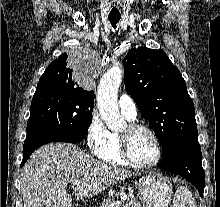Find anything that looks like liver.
<instances>
[{"label":"liver","instance_id":"liver-1","mask_svg":"<svg viewBox=\"0 0 220 207\" xmlns=\"http://www.w3.org/2000/svg\"><path fill=\"white\" fill-rule=\"evenodd\" d=\"M134 175L137 173L105 164L75 145L50 143L35 151L23 167L24 207H72L66 191L72 181H79L73 191L75 198L84 201Z\"/></svg>","mask_w":220,"mask_h":207}]
</instances>
